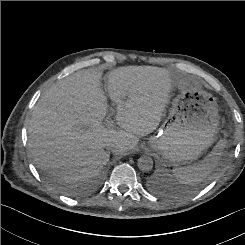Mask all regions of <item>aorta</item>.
<instances>
[{"label": "aorta", "instance_id": "obj_1", "mask_svg": "<svg viewBox=\"0 0 245 245\" xmlns=\"http://www.w3.org/2000/svg\"><path fill=\"white\" fill-rule=\"evenodd\" d=\"M137 166L139 170L148 172L153 168V159L147 155L141 156L138 158Z\"/></svg>", "mask_w": 245, "mask_h": 245}]
</instances>
